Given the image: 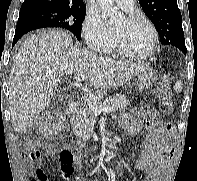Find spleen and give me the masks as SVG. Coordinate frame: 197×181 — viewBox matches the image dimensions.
Returning a JSON list of instances; mask_svg holds the SVG:
<instances>
[{"instance_id":"obj_1","label":"spleen","mask_w":197,"mask_h":181,"mask_svg":"<svg viewBox=\"0 0 197 181\" xmlns=\"http://www.w3.org/2000/svg\"><path fill=\"white\" fill-rule=\"evenodd\" d=\"M174 90L176 92H181L182 91V82L181 81H177L174 85Z\"/></svg>"}]
</instances>
